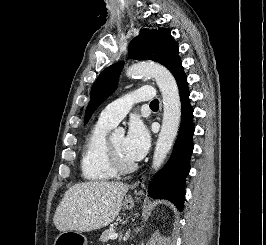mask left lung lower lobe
<instances>
[{
  "instance_id": "obj_1",
  "label": "left lung lower lobe",
  "mask_w": 266,
  "mask_h": 245,
  "mask_svg": "<svg viewBox=\"0 0 266 245\" xmlns=\"http://www.w3.org/2000/svg\"><path fill=\"white\" fill-rule=\"evenodd\" d=\"M170 72L179 87L182 110L181 124L171 158L167 165L154 176L148 192L154 199H168L175 204L178 210L182 211L185 197V177L190 170L189 161L193 152V109L190 105V92L181 60L172 67Z\"/></svg>"
}]
</instances>
